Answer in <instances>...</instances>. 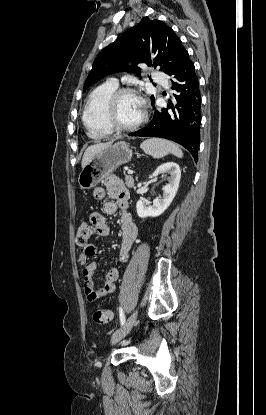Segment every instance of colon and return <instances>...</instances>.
<instances>
[{"instance_id":"5ec220e1","label":"colon","mask_w":266,"mask_h":415,"mask_svg":"<svg viewBox=\"0 0 266 415\" xmlns=\"http://www.w3.org/2000/svg\"><path fill=\"white\" fill-rule=\"evenodd\" d=\"M95 229L92 225L83 222L81 223L76 232V243L79 246L88 245L90 239L94 235ZM93 320L98 324H106L112 318V313L108 309H95L92 313Z\"/></svg>"}]
</instances>
